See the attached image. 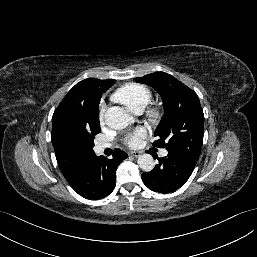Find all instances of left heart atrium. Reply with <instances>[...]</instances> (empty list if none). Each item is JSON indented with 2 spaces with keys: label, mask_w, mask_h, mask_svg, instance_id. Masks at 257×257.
<instances>
[{
  "label": "left heart atrium",
  "mask_w": 257,
  "mask_h": 257,
  "mask_svg": "<svg viewBox=\"0 0 257 257\" xmlns=\"http://www.w3.org/2000/svg\"><path fill=\"white\" fill-rule=\"evenodd\" d=\"M145 135V130L143 128H138L132 133L127 134L124 137V142L128 146H136L139 143V139Z\"/></svg>",
  "instance_id": "39dd6f15"
}]
</instances>
